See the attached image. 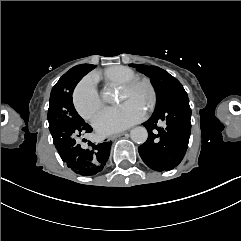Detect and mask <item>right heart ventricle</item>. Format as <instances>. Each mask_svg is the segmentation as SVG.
Returning <instances> with one entry per match:
<instances>
[{
  "instance_id": "1",
  "label": "right heart ventricle",
  "mask_w": 241,
  "mask_h": 241,
  "mask_svg": "<svg viewBox=\"0 0 241 241\" xmlns=\"http://www.w3.org/2000/svg\"><path fill=\"white\" fill-rule=\"evenodd\" d=\"M104 76L107 81L114 82L116 84H120L122 86L123 82L130 77L135 76L134 72L125 66L121 65H113L108 67L105 72ZM125 88V87H121Z\"/></svg>"
}]
</instances>
